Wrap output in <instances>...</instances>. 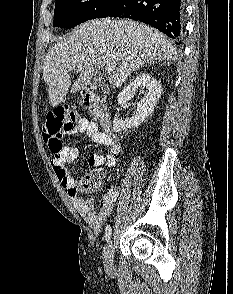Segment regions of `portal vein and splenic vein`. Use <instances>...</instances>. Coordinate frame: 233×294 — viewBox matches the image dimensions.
<instances>
[{"label":"portal vein and splenic vein","mask_w":233,"mask_h":294,"mask_svg":"<svg viewBox=\"0 0 233 294\" xmlns=\"http://www.w3.org/2000/svg\"><path fill=\"white\" fill-rule=\"evenodd\" d=\"M77 69L81 70V69H82V66H81V65H78V66H77ZM113 69H114V67H112V66H108V67L106 68V72H107V73H110V72L113 71Z\"/></svg>","instance_id":"portal-vein-and-splenic-vein-1"}]
</instances>
